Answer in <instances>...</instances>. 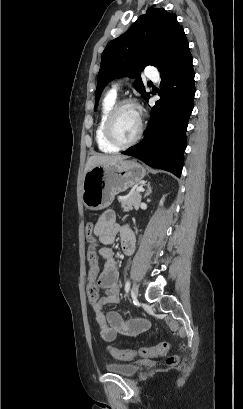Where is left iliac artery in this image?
I'll use <instances>...</instances> for the list:
<instances>
[{"instance_id": "obj_1", "label": "left iliac artery", "mask_w": 243, "mask_h": 409, "mask_svg": "<svg viewBox=\"0 0 243 409\" xmlns=\"http://www.w3.org/2000/svg\"><path fill=\"white\" fill-rule=\"evenodd\" d=\"M129 289H130V282L127 281L126 284H125V291H126V293L129 292Z\"/></svg>"}]
</instances>
